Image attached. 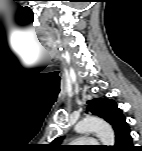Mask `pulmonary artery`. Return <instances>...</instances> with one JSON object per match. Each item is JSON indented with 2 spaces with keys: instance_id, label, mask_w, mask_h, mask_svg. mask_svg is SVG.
I'll list each match as a JSON object with an SVG mask.
<instances>
[{
  "instance_id": "1",
  "label": "pulmonary artery",
  "mask_w": 142,
  "mask_h": 151,
  "mask_svg": "<svg viewBox=\"0 0 142 151\" xmlns=\"http://www.w3.org/2000/svg\"><path fill=\"white\" fill-rule=\"evenodd\" d=\"M96 143H97V141L92 138H79L73 142V144H88V145H93Z\"/></svg>"
}]
</instances>
